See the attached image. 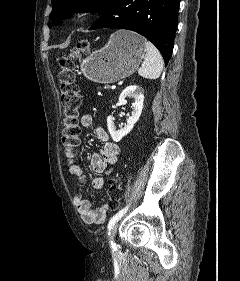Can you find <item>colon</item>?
I'll use <instances>...</instances> for the list:
<instances>
[{
    "instance_id": "colon-1",
    "label": "colon",
    "mask_w": 240,
    "mask_h": 281,
    "mask_svg": "<svg viewBox=\"0 0 240 281\" xmlns=\"http://www.w3.org/2000/svg\"><path fill=\"white\" fill-rule=\"evenodd\" d=\"M89 49L87 41H81L66 56L59 60L60 98L63 107V134L62 143L66 156H75L79 143V110L81 107V94L76 83L75 59L86 53ZM123 196L122 182L119 178L109 181L107 207L115 211Z\"/></svg>"
}]
</instances>
